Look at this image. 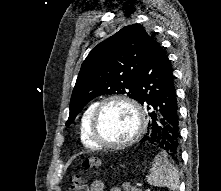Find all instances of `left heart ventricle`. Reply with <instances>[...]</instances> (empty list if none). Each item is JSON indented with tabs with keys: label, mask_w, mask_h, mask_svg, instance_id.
<instances>
[{
	"label": "left heart ventricle",
	"mask_w": 221,
	"mask_h": 191,
	"mask_svg": "<svg viewBox=\"0 0 221 191\" xmlns=\"http://www.w3.org/2000/svg\"><path fill=\"white\" fill-rule=\"evenodd\" d=\"M102 138L110 143H120L130 138L136 130L137 119L134 111L122 102L105 106L99 122Z\"/></svg>",
	"instance_id": "obj_1"
}]
</instances>
